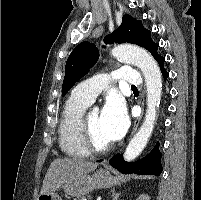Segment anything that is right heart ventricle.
<instances>
[{
  "label": "right heart ventricle",
  "instance_id": "right-heart-ventricle-1",
  "mask_svg": "<svg viewBox=\"0 0 201 200\" xmlns=\"http://www.w3.org/2000/svg\"><path fill=\"white\" fill-rule=\"evenodd\" d=\"M89 104L73 94L64 104L58 126V138L62 152L69 157L81 158L89 155L79 138L80 118Z\"/></svg>",
  "mask_w": 201,
  "mask_h": 200
}]
</instances>
